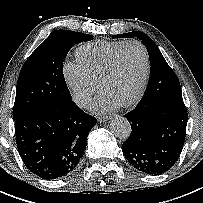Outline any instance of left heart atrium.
<instances>
[{
    "instance_id": "obj_1",
    "label": "left heart atrium",
    "mask_w": 203,
    "mask_h": 203,
    "mask_svg": "<svg viewBox=\"0 0 203 203\" xmlns=\"http://www.w3.org/2000/svg\"><path fill=\"white\" fill-rule=\"evenodd\" d=\"M122 103L106 93L100 94L90 105V108L96 113H109L118 109Z\"/></svg>"
}]
</instances>
